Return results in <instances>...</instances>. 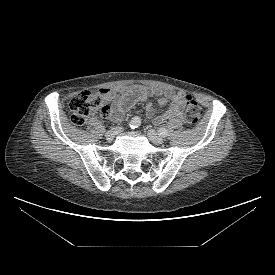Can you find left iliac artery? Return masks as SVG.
Instances as JSON below:
<instances>
[{
	"label": "left iliac artery",
	"instance_id": "left-iliac-artery-1",
	"mask_svg": "<svg viewBox=\"0 0 275 275\" xmlns=\"http://www.w3.org/2000/svg\"><path fill=\"white\" fill-rule=\"evenodd\" d=\"M158 133H159L160 136L166 137L167 134H168V131H167L165 128H160V129L158 130Z\"/></svg>",
	"mask_w": 275,
	"mask_h": 275
}]
</instances>
